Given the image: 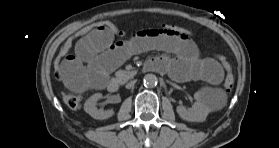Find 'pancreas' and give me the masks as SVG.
Instances as JSON below:
<instances>
[{
  "instance_id": "1",
  "label": "pancreas",
  "mask_w": 279,
  "mask_h": 148,
  "mask_svg": "<svg viewBox=\"0 0 279 148\" xmlns=\"http://www.w3.org/2000/svg\"><path fill=\"white\" fill-rule=\"evenodd\" d=\"M135 74H136V71L119 70L115 73V76L119 82L125 83L130 78L134 77Z\"/></svg>"
}]
</instances>
